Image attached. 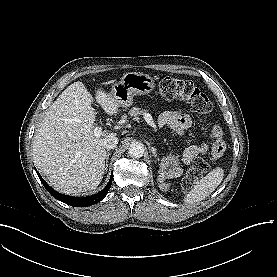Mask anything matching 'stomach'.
I'll return each mask as SVG.
<instances>
[{"mask_svg": "<svg viewBox=\"0 0 277 277\" xmlns=\"http://www.w3.org/2000/svg\"><path fill=\"white\" fill-rule=\"evenodd\" d=\"M155 88L153 77L140 72H127L116 82L109 93L119 107L127 108L136 95L151 93Z\"/></svg>", "mask_w": 277, "mask_h": 277, "instance_id": "obj_1", "label": "stomach"}]
</instances>
